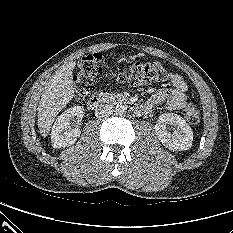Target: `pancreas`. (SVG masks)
<instances>
[{
  "label": "pancreas",
  "instance_id": "pancreas-1",
  "mask_svg": "<svg viewBox=\"0 0 233 233\" xmlns=\"http://www.w3.org/2000/svg\"><path fill=\"white\" fill-rule=\"evenodd\" d=\"M101 98H105V99H112L115 97V95L109 94V93H101L100 94Z\"/></svg>",
  "mask_w": 233,
  "mask_h": 233
}]
</instances>
